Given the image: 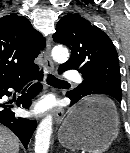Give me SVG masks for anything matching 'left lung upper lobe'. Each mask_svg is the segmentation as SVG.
Masks as SVG:
<instances>
[{
	"label": "left lung upper lobe",
	"mask_w": 130,
	"mask_h": 153,
	"mask_svg": "<svg viewBox=\"0 0 130 153\" xmlns=\"http://www.w3.org/2000/svg\"><path fill=\"white\" fill-rule=\"evenodd\" d=\"M53 40L68 46L72 52L59 69H76L84 78L67 96L81 99L85 93L97 91L121 102L118 55L104 31L78 14H67L57 23Z\"/></svg>",
	"instance_id": "left-lung-upper-lobe-1"
}]
</instances>
